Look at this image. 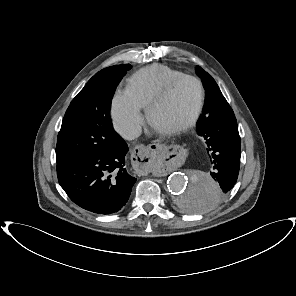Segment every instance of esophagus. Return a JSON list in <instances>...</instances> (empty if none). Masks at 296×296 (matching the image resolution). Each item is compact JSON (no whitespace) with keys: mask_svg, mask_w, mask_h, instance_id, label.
Returning a JSON list of instances; mask_svg holds the SVG:
<instances>
[{"mask_svg":"<svg viewBox=\"0 0 296 296\" xmlns=\"http://www.w3.org/2000/svg\"><path fill=\"white\" fill-rule=\"evenodd\" d=\"M173 156L171 147L166 143L159 144L156 148L146 142H137L132 147V169L140 177L148 176L153 165L160 161L167 162Z\"/></svg>","mask_w":296,"mask_h":296,"instance_id":"obj_1","label":"esophagus"}]
</instances>
